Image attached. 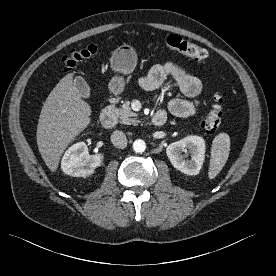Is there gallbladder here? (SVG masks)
<instances>
[{
	"label": "gallbladder",
	"instance_id": "gallbladder-1",
	"mask_svg": "<svg viewBox=\"0 0 276 276\" xmlns=\"http://www.w3.org/2000/svg\"><path fill=\"white\" fill-rule=\"evenodd\" d=\"M74 85L77 88L81 97L86 99L90 97V87L83 77L77 76L74 79Z\"/></svg>",
	"mask_w": 276,
	"mask_h": 276
}]
</instances>
